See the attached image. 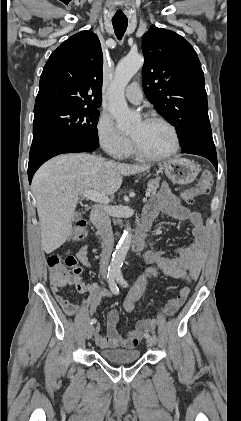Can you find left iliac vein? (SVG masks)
I'll return each instance as SVG.
<instances>
[{
    "label": "left iliac vein",
    "instance_id": "obj_1",
    "mask_svg": "<svg viewBox=\"0 0 241 421\" xmlns=\"http://www.w3.org/2000/svg\"><path fill=\"white\" fill-rule=\"evenodd\" d=\"M156 343H157V338H156V336H150V337L147 339V345H148V346H154V345H156Z\"/></svg>",
    "mask_w": 241,
    "mask_h": 421
}]
</instances>
